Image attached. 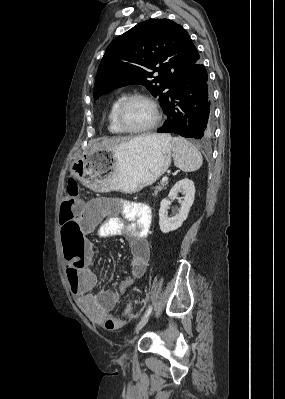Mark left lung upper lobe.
Returning <instances> with one entry per match:
<instances>
[{"instance_id":"obj_1","label":"left lung upper lobe","mask_w":285,"mask_h":399,"mask_svg":"<svg viewBox=\"0 0 285 399\" xmlns=\"http://www.w3.org/2000/svg\"><path fill=\"white\" fill-rule=\"evenodd\" d=\"M198 58L197 48L181 25L168 19L141 22L107 47L93 96L98 99L115 88L141 84L159 98L164 109L175 79Z\"/></svg>"}]
</instances>
